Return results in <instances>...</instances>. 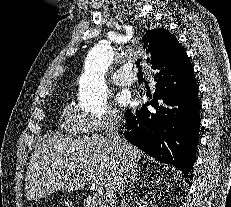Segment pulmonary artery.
Here are the masks:
<instances>
[{
  "label": "pulmonary artery",
  "instance_id": "1",
  "mask_svg": "<svg viewBox=\"0 0 231 207\" xmlns=\"http://www.w3.org/2000/svg\"><path fill=\"white\" fill-rule=\"evenodd\" d=\"M135 77L131 73L129 66H123L118 69L111 77L113 84L118 86H128L133 83Z\"/></svg>",
  "mask_w": 231,
  "mask_h": 207
}]
</instances>
